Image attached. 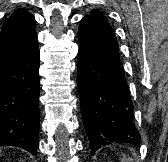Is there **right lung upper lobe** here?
<instances>
[{"label":"right lung upper lobe","mask_w":168,"mask_h":162,"mask_svg":"<svg viewBox=\"0 0 168 162\" xmlns=\"http://www.w3.org/2000/svg\"><path fill=\"white\" fill-rule=\"evenodd\" d=\"M38 46L34 16L15 10L0 29V65Z\"/></svg>","instance_id":"right-lung-upper-lobe-1"}]
</instances>
